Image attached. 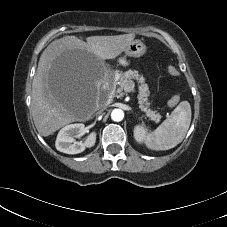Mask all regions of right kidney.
<instances>
[{
	"mask_svg": "<svg viewBox=\"0 0 227 227\" xmlns=\"http://www.w3.org/2000/svg\"><path fill=\"white\" fill-rule=\"evenodd\" d=\"M85 132L86 129L83 123H75L63 127L57 135L56 149L67 154H78L83 152L85 148L94 146L96 142L95 132L90 133L84 142H78L74 139L76 136H82Z\"/></svg>",
	"mask_w": 227,
	"mask_h": 227,
	"instance_id": "1",
	"label": "right kidney"
}]
</instances>
